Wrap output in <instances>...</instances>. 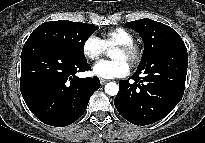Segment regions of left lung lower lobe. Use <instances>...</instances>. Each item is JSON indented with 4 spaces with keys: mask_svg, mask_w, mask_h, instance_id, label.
Here are the masks:
<instances>
[{
    "mask_svg": "<svg viewBox=\"0 0 205 143\" xmlns=\"http://www.w3.org/2000/svg\"><path fill=\"white\" fill-rule=\"evenodd\" d=\"M156 56V65L137 69L129 78L134 80L133 84L129 79L119 82L114 105L123 118L135 125H149L163 119L183 97L188 65L184 42L172 43Z\"/></svg>",
    "mask_w": 205,
    "mask_h": 143,
    "instance_id": "1",
    "label": "left lung lower lobe"
}]
</instances>
